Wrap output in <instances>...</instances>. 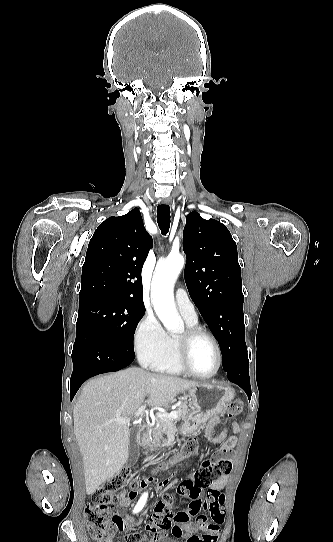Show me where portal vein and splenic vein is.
<instances>
[{"label":"portal vein and splenic vein","mask_w":333,"mask_h":542,"mask_svg":"<svg viewBox=\"0 0 333 542\" xmlns=\"http://www.w3.org/2000/svg\"><path fill=\"white\" fill-rule=\"evenodd\" d=\"M145 410H146V406H141V408H138L135 414L136 418H139V416H142ZM156 416L157 418H161V420H166V418H169V420H176V418H179L178 412H170V414H165V412H158ZM114 422H120V424H129L130 418H116Z\"/></svg>","instance_id":"portal-vein-and-splenic-vein-1"}]
</instances>
